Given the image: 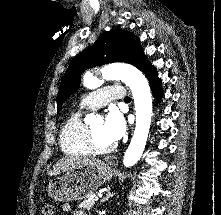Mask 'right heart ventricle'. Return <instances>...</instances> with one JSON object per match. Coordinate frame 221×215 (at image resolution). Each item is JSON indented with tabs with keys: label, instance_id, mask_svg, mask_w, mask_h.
Returning <instances> with one entry per match:
<instances>
[{
	"label": "right heart ventricle",
	"instance_id": "obj_1",
	"mask_svg": "<svg viewBox=\"0 0 221 215\" xmlns=\"http://www.w3.org/2000/svg\"><path fill=\"white\" fill-rule=\"evenodd\" d=\"M87 124L80 111L73 112L64 122L60 131V147L65 154L85 156L90 153L87 145Z\"/></svg>",
	"mask_w": 221,
	"mask_h": 215
}]
</instances>
